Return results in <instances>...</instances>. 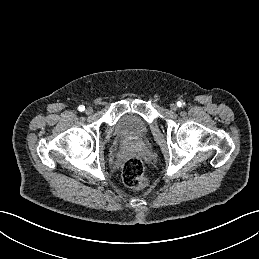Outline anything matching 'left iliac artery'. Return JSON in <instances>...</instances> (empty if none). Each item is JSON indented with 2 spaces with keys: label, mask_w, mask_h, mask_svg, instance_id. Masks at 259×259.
<instances>
[{
  "label": "left iliac artery",
  "mask_w": 259,
  "mask_h": 259,
  "mask_svg": "<svg viewBox=\"0 0 259 259\" xmlns=\"http://www.w3.org/2000/svg\"><path fill=\"white\" fill-rule=\"evenodd\" d=\"M183 105H184L183 102H181V101L177 102V106H178V107H182Z\"/></svg>",
  "instance_id": "obj_1"
}]
</instances>
